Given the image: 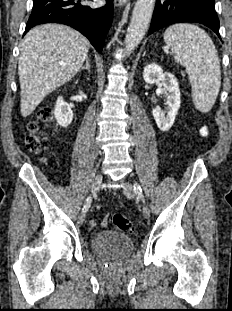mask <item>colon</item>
Masks as SVG:
<instances>
[{"label": "colon", "mask_w": 232, "mask_h": 311, "mask_svg": "<svg viewBox=\"0 0 232 311\" xmlns=\"http://www.w3.org/2000/svg\"><path fill=\"white\" fill-rule=\"evenodd\" d=\"M52 119L49 109H43L39 112L36 120L28 124V135L25 139L26 147L29 151L38 153L42 148V138L40 135L43 124L48 123ZM111 223L115 229L121 231H133V222L122 214H114L111 217Z\"/></svg>", "instance_id": "1"}]
</instances>
